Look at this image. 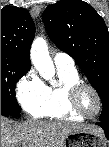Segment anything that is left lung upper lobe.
Returning a JSON list of instances; mask_svg holds the SVG:
<instances>
[{
	"instance_id": "left-lung-upper-lobe-1",
	"label": "left lung upper lobe",
	"mask_w": 109,
	"mask_h": 147,
	"mask_svg": "<svg viewBox=\"0 0 109 147\" xmlns=\"http://www.w3.org/2000/svg\"><path fill=\"white\" fill-rule=\"evenodd\" d=\"M43 21L50 39L69 54L102 99L99 121L109 122V32L86 2L61 0L49 5Z\"/></svg>"
}]
</instances>
